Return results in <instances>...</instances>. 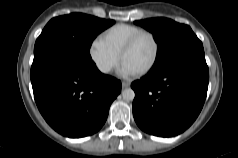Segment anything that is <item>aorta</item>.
<instances>
[{
    "mask_svg": "<svg viewBox=\"0 0 238 158\" xmlns=\"http://www.w3.org/2000/svg\"><path fill=\"white\" fill-rule=\"evenodd\" d=\"M122 97L126 101H132L135 97L133 89L127 88L122 91Z\"/></svg>",
    "mask_w": 238,
    "mask_h": 158,
    "instance_id": "aorta-1",
    "label": "aorta"
}]
</instances>
